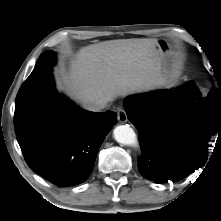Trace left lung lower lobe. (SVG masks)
Instances as JSON below:
<instances>
[{"label":"left lung lower lobe","mask_w":221,"mask_h":221,"mask_svg":"<svg viewBox=\"0 0 221 221\" xmlns=\"http://www.w3.org/2000/svg\"><path fill=\"white\" fill-rule=\"evenodd\" d=\"M128 119L139 132L140 174L152 181L181 180L203 167L210 136L221 143V88L201 98L189 82L176 90L128 97Z\"/></svg>","instance_id":"obj_1"}]
</instances>
